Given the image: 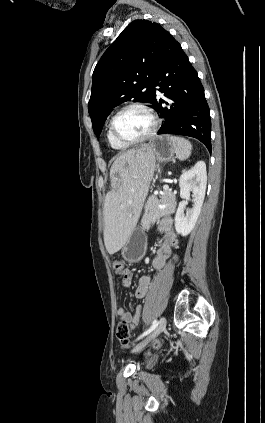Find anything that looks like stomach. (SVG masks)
<instances>
[{"instance_id": "0dacf381", "label": "stomach", "mask_w": 265, "mask_h": 423, "mask_svg": "<svg viewBox=\"0 0 265 423\" xmlns=\"http://www.w3.org/2000/svg\"><path fill=\"white\" fill-rule=\"evenodd\" d=\"M148 146L153 150L157 162H167L173 158L175 150L169 136L155 137ZM146 246L145 232L134 228L122 248V256L128 262L138 263L145 256Z\"/></svg>"}]
</instances>
